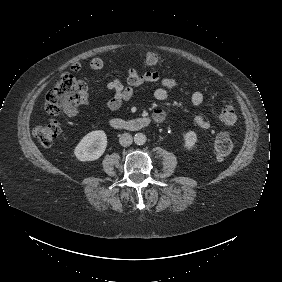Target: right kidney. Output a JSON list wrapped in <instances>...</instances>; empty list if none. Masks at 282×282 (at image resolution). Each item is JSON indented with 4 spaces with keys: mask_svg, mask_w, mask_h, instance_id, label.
I'll list each match as a JSON object with an SVG mask.
<instances>
[{
    "mask_svg": "<svg viewBox=\"0 0 282 282\" xmlns=\"http://www.w3.org/2000/svg\"><path fill=\"white\" fill-rule=\"evenodd\" d=\"M107 146L104 131H92L85 135L75 147L74 154L80 161H93L101 157Z\"/></svg>",
    "mask_w": 282,
    "mask_h": 282,
    "instance_id": "ca27d5eb",
    "label": "right kidney"
}]
</instances>
